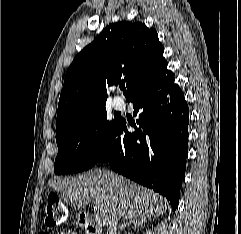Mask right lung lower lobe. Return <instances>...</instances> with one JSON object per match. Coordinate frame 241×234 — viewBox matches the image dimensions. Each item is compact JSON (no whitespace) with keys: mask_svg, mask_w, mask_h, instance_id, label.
<instances>
[{"mask_svg":"<svg viewBox=\"0 0 241 234\" xmlns=\"http://www.w3.org/2000/svg\"><path fill=\"white\" fill-rule=\"evenodd\" d=\"M166 66L127 99L139 117L135 132L129 133L128 123L119 118L96 164L109 163L114 171L165 196L175 210L185 177L189 110Z\"/></svg>","mask_w":241,"mask_h":234,"instance_id":"obj_1","label":"right lung lower lobe"}]
</instances>
